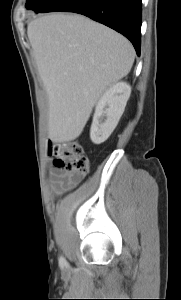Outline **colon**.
Returning <instances> with one entry per match:
<instances>
[{
	"label": "colon",
	"mask_w": 181,
	"mask_h": 300,
	"mask_svg": "<svg viewBox=\"0 0 181 300\" xmlns=\"http://www.w3.org/2000/svg\"><path fill=\"white\" fill-rule=\"evenodd\" d=\"M49 154L54 158V165L68 172L74 178L84 176L89 168V160L80 143L73 140L53 143Z\"/></svg>",
	"instance_id": "1"
}]
</instances>
